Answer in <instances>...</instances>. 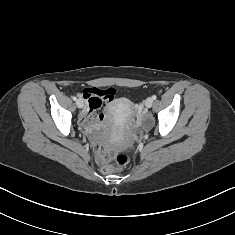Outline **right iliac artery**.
<instances>
[{"label": "right iliac artery", "mask_w": 235, "mask_h": 235, "mask_svg": "<svg viewBox=\"0 0 235 235\" xmlns=\"http://www.w3.org/2000/svg\"><path fill=\"white\" fill-rule=\"evenodd\" d=\"M73 100H74V101H76V100H77V97H76V96H74V97H73Z\"/></svg>", "instance_id": "right-iliac-artery-1"}]
</instances>
